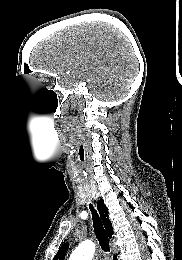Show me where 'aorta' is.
<instances>
[{
  "mask_svg": "<svg viewBox=\"0 0 182 260\" xmlns=\"http://www.w3.org/2000/svg\"><path fill=\"white\" fill-rule=\"evenodd\" d=\"M95 248V244L92 241H83L72 252L69 260H92L95 253Z\"/></svg>",
  "mask_w": 182,
  "mask_h": 260,
  "instance_id": "762f6f07",
  "label": "aorta"
}]
</instances>
